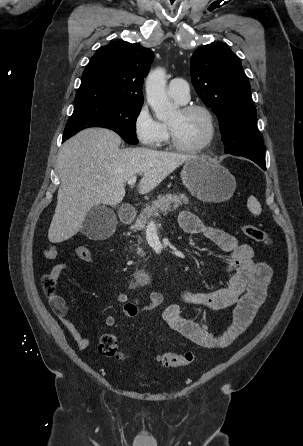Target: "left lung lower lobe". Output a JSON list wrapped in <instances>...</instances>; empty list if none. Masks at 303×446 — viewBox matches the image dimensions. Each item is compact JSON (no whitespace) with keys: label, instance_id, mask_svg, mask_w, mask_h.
<instances>
[{"label":"left lung lower lobe","instance_id":"left-lung-lower-lobe-1","mask_svg":"<svg viewBox=\"0 0 303 446\" xmlns=\"http://www.w3.org/2000/svg\"><path fill=\"white\" fill-rule=\"evenodd\" d=\"M246 158H248V159L254 161L255 163H257V164H258L260 167H262L263 169H266L265 161H261V160H258V159H256V158H252V157H246Z\"/></svg>","mask_w":303,"mask_h":446}]
</instances>
